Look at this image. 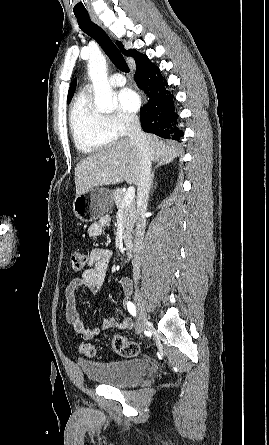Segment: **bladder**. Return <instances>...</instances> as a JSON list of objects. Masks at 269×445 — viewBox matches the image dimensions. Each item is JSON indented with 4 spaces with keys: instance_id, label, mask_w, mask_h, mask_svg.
I'll return each mask as SVG.
<instances>
[{
    "instance_id": "31cf9c89",
    "label": "bladder",
    "mask_w": 269,
    "mask_h": 445,
    "mask_svg": "<svg viewBox=\"0 0 269 445\" xmlns=\"http://www.w3.org/2000/svg\"><path fill=\"white\" fill-rule=\"evenodd\" d=\"M147 367V363L142 359L80 363V368L88 380L114 387H127L137 383L145 375Z\"/></svg>"
}]
</instances>
